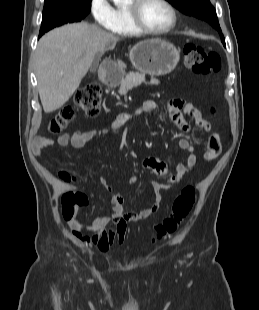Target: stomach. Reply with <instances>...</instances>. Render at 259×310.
I'll use <instances>...</instances> for the list:
<instances>
[{"label": "stomach", "instance_id": "obj_1", "mask_svg": "<svg viewBox=\"0 0 259 310\" xmlns=\"http://www.w3.org/2000/svg\"><path fill=\"white\" fill-rule=\"evenodd\" d=\"M180 59L177 48L162 39H149L137 43L130 51L132 65L150 75H166L174 70Z\"/></svg>", "mask_w": 259, "mask_h": 310}]
</instances>
